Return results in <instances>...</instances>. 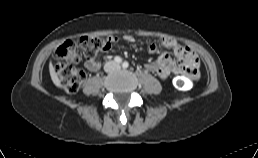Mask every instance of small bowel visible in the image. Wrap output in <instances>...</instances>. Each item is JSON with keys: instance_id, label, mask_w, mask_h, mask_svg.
Listing matches in <instances>:
<instances>
[{"instance_id": "1", "label": "small bowel", "mask_w": 258, "mask_h": 158, "mask_svg": "<svg viewBox=\"0 0 258 158\" xmlns=\"http://www.w3.org/2000/svg\"><path fill=\"white\" fill-rule=\"evenodd\" d=\"M124 40L133 43L134 37L126 35ZM160 48L171 49L177 61L171 59L166 54H161L155 61L145 64V68L156 74L160 79H167L171 75L182 74L186 78L196 80L199 76V59L198 56L188 47L181 45L174 38H163L158 43H151L148 45L150 52H156ZM85 67L91 71L96 72L100 69L101 64L95 58H88L85 62Z\"/></svg>"}]
</instances>
